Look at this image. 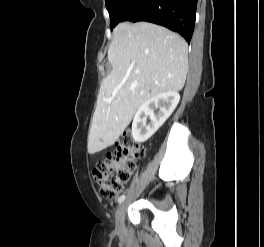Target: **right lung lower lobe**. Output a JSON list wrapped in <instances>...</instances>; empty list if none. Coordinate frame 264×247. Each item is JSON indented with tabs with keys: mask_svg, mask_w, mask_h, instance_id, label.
<instances>
[{
	"mask_svg": "<svg viewBox=\"0 0 264 247\" xmlns=\"http://www.w3.org/2000/svg\"><path fill=\"white\" fill-rule=\"evenodd\" d=\"M197 0H132L119 17L123 21H147L192 38Z\"/></svg>",
	"mask_w": 264,
	"mask_h": 247,
	"instance_id": "98d812e1",
	"label": "right lung lower lobe"
}]
</instances>
